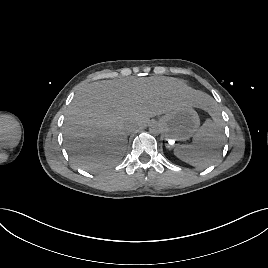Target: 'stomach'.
I'll return each instance as SVG.
<instances>
[{
	"label": "stomach",
	"mask_w": 268,
	"mask_h": 268,
	"mask_svg": "<svg viewBox=\"0 0 268 268\" xmlns=\"http://www.w3.org/2000/svg\"><path fill=\"white\" fill-rule=\"evenodd\" d=\"M167 140L185 141L199 128L200 119L191 105L180 106L160 118Z\"/></svg>",
	"instance_id": "obj_1"
}]
</instances>
